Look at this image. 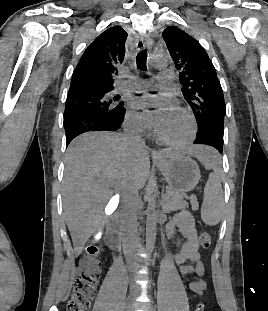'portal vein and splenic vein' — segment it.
Here are the masks:
<instances>
[{
    "instance_id": "portal-vein-and-splenic-vein-1",
    "label": "portal vein and splenic vein",
    "mask_w": 268,
    "mask_h": 311,
    "mask_svg": "<svg viewBox=\"0 0 268 311\" xmlns=\"http://www.w3.org/2000/svg\"><path fill=\"white\" fill-rule=\"evenodd\" d=\"M119 197H113V200H118Z\"/></svg>"
}]
</instances>
